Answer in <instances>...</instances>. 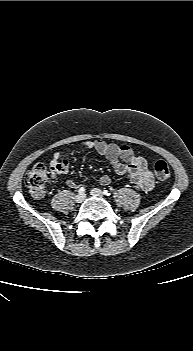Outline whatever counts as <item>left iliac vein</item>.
<instances>
[{"label": "left iliac vein", "instance_id": "4c4485c4", "mask_svg": "<svg viewBox=\"0 0 193 351\" xmlns=\"http://www.w3.org/2000/svg\"><path fill=\"white\" fill-rule=\"evenodd\" d=\"M90 194L92 196L100 197V198H102L104 196L103 192L98 188L91 189Z\"/></svg>", "mask_w": 193, "mask_h": 351}]
</instances>
